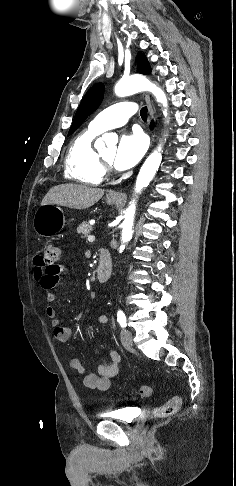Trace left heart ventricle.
Segmentation results:
<instances>
[{
  "label": "left heart ventricle",
  "mask_w": 236,
  "mask_h": 486,
  "mask_svg": "<svg viewBox=\"0 0 236 486\" xmlns=\"http://www.w3.org/2000/svg\"><path fill=\"white\" fill-rule=\"evenodd\" d=\"M115 151L113 149H109L101 153V156L108 162H112L114 158Z\"/></svg>",
  "instance_id": "1"
}]
</instances>
